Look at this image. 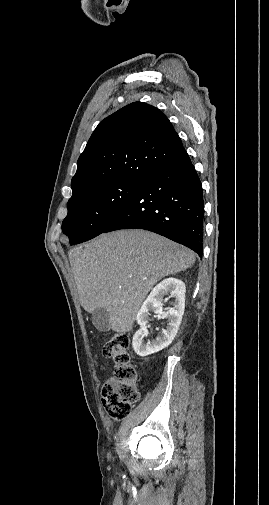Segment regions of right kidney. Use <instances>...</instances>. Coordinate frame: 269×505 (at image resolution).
<instances>
[{
    "label": "right kidney",
    "mask_w": 269,
    "mask_h": 505,
    "mask_svg": "<svg viewBox=\"0 0 269 505\" xmlns=\"http://www.w3.org/2000/svg\"><path fill=\"white\" fill-rule=\"evenodd\" d=\"M185 284L176 278H167L157 284L139 310L136 320L140 329L133 336L132 346L137 355L145 357L161 351L166 348L175 338L185 308ZM170 295L174 299L173 308L163 312V299ZM151 312L168 319V326L163 329L155 340L148 341L146 344L143 337L147 335L146 325L150 320Z\"/></svg>",
    "instance_id": "right-kidney-1"
}]
</instances>
